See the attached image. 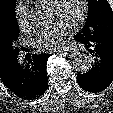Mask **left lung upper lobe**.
Masks as SVG:
<instances>
[{
  "label": "left lung upper lobe",
  "mask_w": 113,
  "mask_h": 113,
  "mask_svg": "<svg viewBox=\"0 0 113 113\" xmlns=\"http://www.w3.org/2000/svg\"><path fill=\"white\" fill-rule=\"evenodd\" d=\"M88 17L81 32L85 36H113V11L107 0H88ZM78 33V34H79Z\"/></svg>",
  "instance_id": "5c2ea615"
}]
</instances>
